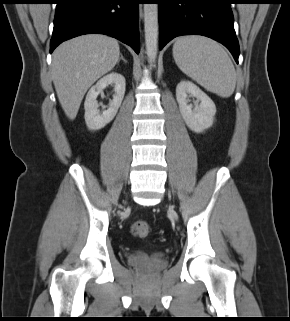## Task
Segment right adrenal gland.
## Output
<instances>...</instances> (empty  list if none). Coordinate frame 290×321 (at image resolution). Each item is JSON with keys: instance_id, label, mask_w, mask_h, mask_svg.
<instances>
[{"instance_id": "1", "label": "right adrenal gland", "mask_w": 290, "mask_h": 321, "mask_svg": "<svg viewBox=\"0 0 290 321\" xmlns=\"http://www.w3.org/2000/svg\"><path fill=\"white\" fill-rule=\"evenodd\" d=\"M120 60H122L124 63H127V60H125V58L123 57V55H121Z\"/></svg>"}]
</instances>
